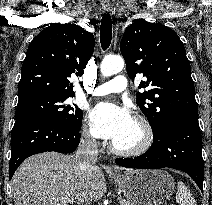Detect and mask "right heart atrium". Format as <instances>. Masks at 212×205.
I'll list each match as a JSON object with an SVG mask.
<instances>
[{
	"label": "right heart atrium",
	"mask_w": 212,
	"mask_h": 205,
	"mask_svg": "<svg viewBox=\"0 0 212 205\" xmlns=\"http://www.w3.org/2000/svg\"><path fill=\"white\" fill-rule=\"evenodd\" d=\"M82 138L83 141L88 145L94 146L96 144V140L92 134V131L87 126H85L83 129Z\"/></svg>",
	"instance_id": "d8ad5b80"
}]
</instances>
